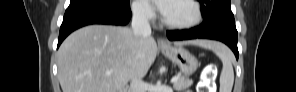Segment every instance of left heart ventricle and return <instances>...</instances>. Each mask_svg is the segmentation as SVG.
<instances>
[{
    "label": "left heart ventricle",
    "instance_id": "obj_1",
    "mask_svg": "<svg viewBox=\"0 0 296 92\" xmlns=\"http://www.w3.org/2000/svg\"><path fill=\"white\" fill-rule=\"evenodd\" d=\"M193 7L185 1H172L164 17L173 23H186L194 19Z\"/></svg>",
    "mask_w": 296,
    "mask_h": 92
}]
</instances>
